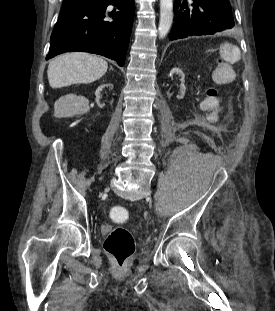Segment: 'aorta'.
I'll return each instance as SVG.
<instances>
[{"mask_svg": "<svg viewBox=\"0 0 275 311\" xmlns=\"http://www.w3.org/2000/svg\"><path fill=\"white\" fill-rule=\"evenodd\" d=\"M173 22V0H160L159 38L163 39Z\"/></svg>", "mask_w": 275, "mask_h": 311, "instance_id": "aorta-1", "label": "aorta"}]
</instances>
